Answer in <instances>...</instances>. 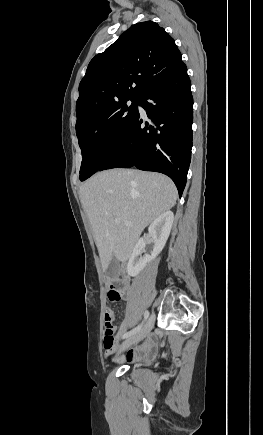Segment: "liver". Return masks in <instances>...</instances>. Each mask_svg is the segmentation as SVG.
Instances as JSON below:
<instances>
[{"label":"liver","instance_id":"obj_1","mask_svg":"<svg viewBox=\"0 0 263 435\" xmlns=\"http://www.w3.org/2000/svg\"><path fill=\"white\" fill-rule=\"evenodd\" d=\"M79 195L106 270L113 257L119 262L130 258L144 228L175 205L177 189L162 174L111 169L89 178Z\"/></svg>","mask_w":263,"mask_h":435}]
</instances>
